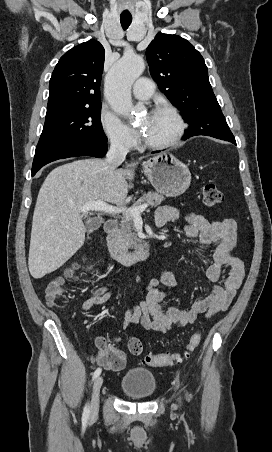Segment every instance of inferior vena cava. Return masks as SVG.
Returning a JSON list of instances; mask_svg holds the SVG:
<instances>
[{
  "instance_id": "1",
  "label": "inferior vena cava",
  "mask_w": 272,
  "mask_h": 452,
  "mask_svg": "<svg viewBox=\"0 0 272 452\" xmlns=\"http://www.w3.org/2000/svg\"><path fill=\"white\" fill-rule=\"evenodd\" d=\"M128 148L120 140L112 139L107 153V162L112 168L118 167L126 158Z\"/></svg>"
}]
</instances>
